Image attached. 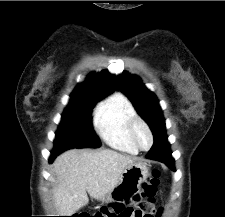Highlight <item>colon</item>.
I'll return each mask as SVG.
<instances>
[{"label": "colon", "instance_id": "1", "mask_svg": "<svg viewBox=\"0 0 225 217\" xmlns=\"http://www.w3.org/2000/svg\"><path fill=\"white\" fill-rule=\"evenodd\" d=\"M158 184H159V172L157 170H152L147 180L142 184L140 190H138L137 193L133 196V200L138 201L142 200L143 198L152 199L156 193ZM119 209L120 208L117 202H114L109 207H105L101 211L97 212L94 216L89 217H115ZM76 217H86V216H76Z\"/></svg>", "mask_w": 225, "mask_h": 217}]
</instances>
